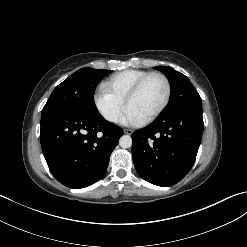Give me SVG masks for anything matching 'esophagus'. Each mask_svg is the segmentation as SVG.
Listing matches in <instances>:
<instances>
[{
    "instance_id": "esophagus-1",
    "label": "esophagus",
    "mask_w": 247,
    "mask_h": 247,
    "mask_svg": "<svg viewBox=\"0 0 247 247\" xmlns=\"http://www.w3.org/2000/svg\"><path fill=\"white\" fill-rule=\"evenodd\" d=\"M124 133L131 135L133 133V130L132 129H124Z\"/></svg>"
}]
</instances>
